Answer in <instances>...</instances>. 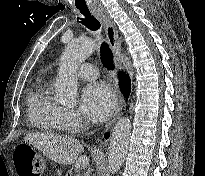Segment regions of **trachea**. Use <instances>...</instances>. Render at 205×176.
Masks as SVG:
<instances>
[{
  "instance_id": "obj_1",
  "label": "trachea",
  "mask_w": 205,
  "mask_h": 176,
  "mask_svg": "<svg viewBox=\"0 0 205 176\" xmlns=\"http://www.w3.org/2000/svg\"><path fill=\"white\" fill-rule=\"evenodd\" d=\"M80 13L82 17H79L78 19H80L81 23L84 24L89 30L96 32L100 29L101 24L99 20L91 15L88 9L80 10ZM100 58L104 67L109 70L114 69L113 54L105 42H103L100 46Z\"/></svg>"
}]
</instances>
